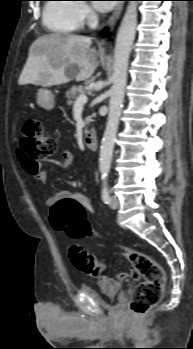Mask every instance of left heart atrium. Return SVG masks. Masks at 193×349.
I'll use <instances>...</instances> for the list:
<instances>
[{
    "label": "left heart atrium",
    "instance_id": "left-heart-atrium-1",
    "mask_svg": "<svg viewBox=\"0 0 193 349\" xmlns=\"http://www.w3.org/2000/svg\"><path fill=\"white\" fill-rule=\"evenodd\" d=\"M114 4L112 2H97L95 3V7L97 10L101 12H107L112 9Z\"/></svg>",
    "mask_w": 193,
    "mask_h": 349
}]
</instances>
